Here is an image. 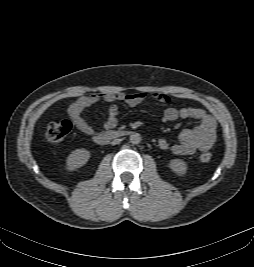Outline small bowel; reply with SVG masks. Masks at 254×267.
Segmentation results:
<instances>
[{
	"label": "small bowel",
	"instance_id": "small-bowel-1",
	"mask_svg": "<svg viewBox=\"0 0 254 267\" xmlns=\"http://www.w3.org/2000/svg\"><path fill=\"white\" fill-rule=\"evenodd\" d=\"M149 95L144 92L138 93H106L103 95L82 96L72 102L68 107V116L75 127L88 136L113 129L118 124L119 107L116 102L120 101L130 107L140 105ZM150 96L163 104H170L171 99L162 93H152ZM100 100L110 103L108 117L101 131L91 126L83 117V112L96 104ZM194 119L198 124L192 129L183 130L179 136V141L171 146V151L175 155H192L197 151L209 150L216 140V122L214 118L205 110L197 107H167L162 114L164 122H174L177 119ZM161 149L170 148L166 139L159 140Z\"/></svg>",
	"mask_w": 254,
	"mask_h": 267
}]
</instances>
